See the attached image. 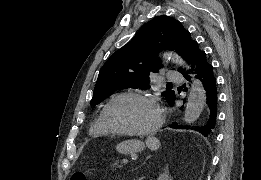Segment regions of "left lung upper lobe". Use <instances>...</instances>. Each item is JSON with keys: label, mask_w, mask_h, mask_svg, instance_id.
I'll list each match as a JSON object with an SVG mask.
<instances>
[{"label": "left lung upper lobe", "mask_w": 261, "mask_h": 180, "mask_svg": "<svg viewBox=\"0 0 261 180\" xmlns=\"http://www.w3.org/2000/svg\"><path fill=\"white\" fill-rule=\"evenodd\" d=\"M196 44L178 20L168 16L154 18L143 25L134 38L113 53L103 65L90 105H97L120 89H148L149 75L162 67L161 61L157 59L158 52L175 50L188 61ZM163 95L168 103L175 97L174 91H165Z\"/></svg>", "instance_id": "5c2ea615"}]
</instances>
